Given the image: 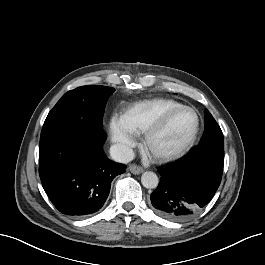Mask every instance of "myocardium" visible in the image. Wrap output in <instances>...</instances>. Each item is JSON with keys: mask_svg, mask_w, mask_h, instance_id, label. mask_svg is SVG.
<instances>
[{"mask_svg": "<svg viewBox=\"0 0 265 265\" xmlns=\"http://www.w3.org/2000/svg\"><path fill=\"white\" fill-rule=\"evenodd\" d=\"M185 110L191 111L195 116V127L189 139L176 148L167 149V150H161L156 148L154 145V140L156 136L160 133V131H162L168 120L175 114ZM199 130H200V117L197 111L190 106L181 105L177 108L162 113L154 121V123L146 130V132L143 135L142 147L144 151L148 153L154 161L160 163L172 161L182 157L192 148V146L194 145L197 139Z\"/></svg>", "mask_w": 265, "mask_h": 265, "instance_id": "f54148a6", "label": "myocardium"}]
</instances>
